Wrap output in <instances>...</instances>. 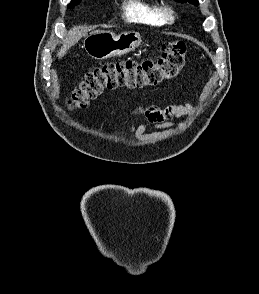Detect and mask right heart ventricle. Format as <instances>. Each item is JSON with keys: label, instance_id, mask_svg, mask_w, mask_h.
Returning a JSON list of instances; mask_svg holds the SVG:
<instances>
[{"label": "right heart ventricle", "instance_id": "1", "mask_svg": "<svg viewBox=\"0 0 259 294\" xmlns=\"http://www.w3.org/2000/svg\"><path fill=\"white\" fill-rule=\"evenodd\" d=\"M123 16L127 21L137 24L148 26L162 24L157 8L145 0H125Z\"/></svg>", "mask_w": 259, "mask_h": 294}]
</instances>
